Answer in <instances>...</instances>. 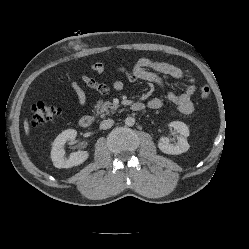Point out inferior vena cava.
Here are the masks:
<instances>
[{"instance_id":"1","label":"inferior vena cava","mask_w":249,"mask_h":249,"mask_svg":"<svg viewBox=\"0 0 249 249\" xmlns=\"http://www.w3.org/2000/svg\"><path fill=\"white\" fill-rule=\"evenodd\" d=\"M114 124V121L112 119H107V120H103L101 123H100V129H109L113 126Z\"/></svg>"}]
</instances>
